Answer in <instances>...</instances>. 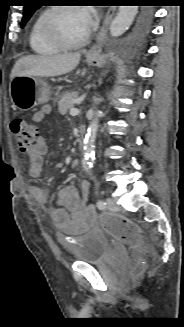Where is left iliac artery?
Returning <instances> with one entry per match:
<instances>
[{
  "label": "left iliac artery",
  "mask_w": 184,
  "mask_h": 327,
  "mask_svg": "<svg viewBox=\"0 0 184 327\" xmlns=\"http://www.w3.org/2000/svg\"><path fill=\"white\" fill-rule=\"evenodd\" d=\"M97 207L99 209H104L106 207V203L103 200H98Z\"/></svg>",
  "instance_id": "left-iliac-artery-1"
}]
</instances>
